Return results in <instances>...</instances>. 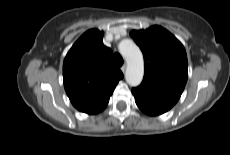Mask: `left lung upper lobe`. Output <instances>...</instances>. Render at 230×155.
Here are the masks:
<instances>
[{
  "label": "left lung upper lobe",
  "instance_id": "5c2ea615",
  "mask_svg": "<svg viewBox=\"0 0 230 155\" xmlns=\"http://www.w3.org/2000/svg\"><path fill=\"white\" fill-rule=\"evenodd\" d=\"M144 56V78L132 93L173 107L179 100L188 77L185 48L169 31L152 26L130 33Z\"/></svg>",
  "mask_w": 230,
  "mask_h": 155
}]
</instances>
